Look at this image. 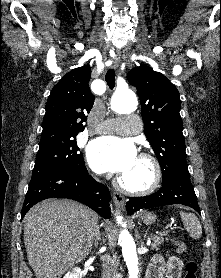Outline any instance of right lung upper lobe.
<instances>
[{"instance_id":"cb5924a9","label":"right lung upper lobe","mask_w":221,"mask_h":278,"mask_svg":"<svg viewBox=\"0 0 221 278\" xmlns=\"http://www.w3.org/2000/svg\"><path fill=\"white\" fill-rule=\"evenodd\" d=\"M90 75L91 67L85 65L68 72L53 87L46 103L40 142L76 136L84 130L94 104Z\"/></svg>"}]
</instances>
